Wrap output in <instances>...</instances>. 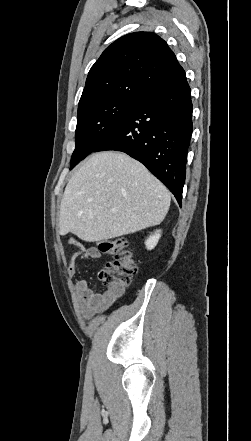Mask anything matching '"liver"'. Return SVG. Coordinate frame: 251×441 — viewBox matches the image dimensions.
<instances>
[{
  "label": "liver",
  "instance_id": "liver-1",
  "mask_svg": "<svg viewBox=\"0 0 251 441\" xmlns=\"http://www.w3.org/2000/svg\"><path fill=\"white\" fill-rule=\"evenodd\" d=\"M170 194L140 162L120 152L93 154L68 182L59 233L103 241L160 224Z\"/></svg>",
  "mask_w": 251,
  "mask_h": 441
}]
</instances>
